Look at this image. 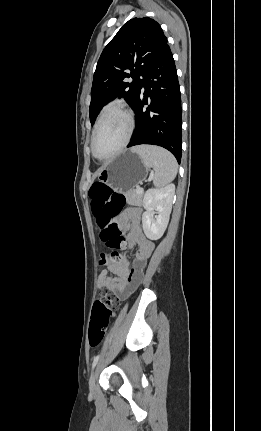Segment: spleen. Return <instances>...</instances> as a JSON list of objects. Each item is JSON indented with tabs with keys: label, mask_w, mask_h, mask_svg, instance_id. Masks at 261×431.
I'll return each mask as SVG.
<instances>
[{
	"label": "spleen",
	"mask_w": 261,
	"mask_h": 431,
	"mask_svg": "<svg viewBox=\"0 0 261 431\" xmlns=\"http://www.w3.org/2000/svg\"><path fill=\"white\" fill-rule=\"evenodd\" d=\"M143 160L147 167L154 170L153 183L158 188H163L174 180L177 175L178 165L175 157L167 150L141 145L132 149Z\"/></svg>",
	"instance_id": "obj_1"
}]
</instances>
